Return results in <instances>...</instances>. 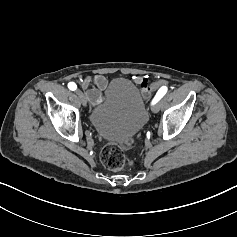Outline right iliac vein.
<instances>
[{
	"instance_id": "obj_1",
	"label": "right iliac vein",
	"mask_w": 237,
	"mask_h": 237,
	"mask_svg": "<svg viewBox=\"0 0 237 237\" xmlns=\"http://www.w3.org/2000/svg\"><path fill=\"white\" fill-rule=\"evenodd\" d=\"M76 94L79 97L82 105L86 106L87 105V100H86V97L84 96V94L82 93V91L81 90H76Z\"/></svg>"
}]
</instances>
